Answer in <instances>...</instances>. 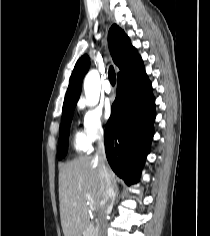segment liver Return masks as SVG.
Returning <instances> with one entry per match:
<instances>
[{
	"label": "liver",
	"mask_w": 210,
	"mask_h": 236,
	"mask_svg": "<svg viewBox=\"0 0 210 236\" xmlns=\"http://www.w3.org/2000/svg\"><path fill=\"white\" fill-rule=\"evenodd\" d=\"M110 174L114 182L115 176ZM101 175L93 157L82 156L59 169L60 219L64 236H81L88 223V203L102 200Z\"/></svg>",
	"instance_id": "1"
}]
</instances>
